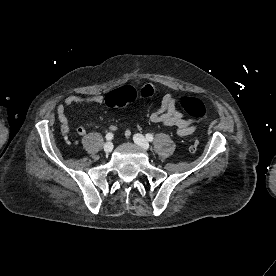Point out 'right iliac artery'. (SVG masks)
Instances as JSON below:
<instances>
[{"label": "right iliac artery", "instance_id": "right-iliac-artery-1", "mask_svg": "<svg viewBox=\"0 0 276 276\" xmlns=\"http://www.w3.org/2000/svg\"><path fill=\"white\" fill-rule=\"evenodd\" d=\"M106 139L107 140H112L113 139V134L112 133H107L106 134Z\"/></svg>", "mask_w": 276, "mask_h": 276}]
</instances>
